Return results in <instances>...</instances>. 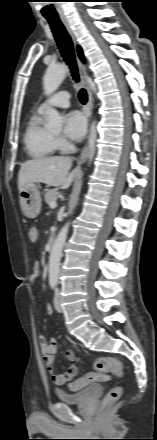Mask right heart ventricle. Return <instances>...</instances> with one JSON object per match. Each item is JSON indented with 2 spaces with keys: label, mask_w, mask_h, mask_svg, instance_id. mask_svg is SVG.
<instances>
[{
  "label": "right heart ventricle",
  "mask_w": 157,
  "mask_h": 440,
  "mask_svg": "<svg viewBox=\"0 0 157 440\" xmlns=\"http://www.w3.org/2000/svg\"><path fill=\"white\" fill-rule=\"evenodd\" d=\"M42 114L37 109L30 115L23 137L27 153L34 158L49 156L57 147L54 136L41 123Z\"/></svg>",
  "instance_id": "e07e8e85"
}]
</instances>
